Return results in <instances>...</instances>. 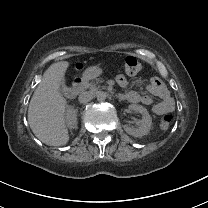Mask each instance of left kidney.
<instances>
[{
  "mask_svg": "<svg viewBox=\"0 0 208 208\" xmlns=\"http://www.w3.org/2000/svg\"><path fill=\"white\" fill-rule=\"evenodd\" d=\"M130 111L140 112L141 120L138 121V128L133 129L128 125H124L123 129L126 131L128 135H131L135 138H140L148 134L151 130L152 119L149 115L148 111L141 105L131 104L128 106Z\"/></svg>",
  "mask_w": 208,
  "mask_h": 208,
  "instance_id": "left-kidney-1",
  "label": "left kidney"
}]
</instances>
